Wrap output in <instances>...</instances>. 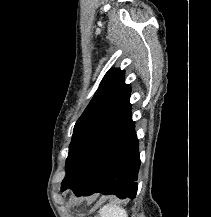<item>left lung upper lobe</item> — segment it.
I'll return each instance as SVG.
<instances>
[{"label": "left lung upper lobe", "mask_w": 211, "mask_h": 217, "mask_svg": "<svg viewBox=\"0 0 211 217\" xmlns=\"http://www.w3.org/2000/svg\"><path fill=\"white\" fill-rule=\"evenodd\" d=\"M130 92L124 71L111 69L106 73L75 124L62 186L74 180L98 150L132 120Z\"/></svg>", "instance_id": "left-lung-upper-lobe-1"}]
</instances>
